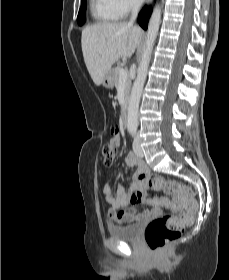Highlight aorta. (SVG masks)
I'll list each match as a JSON object with an SVG mask.
<instances>
[{
  "mask_svg": "<svg viewBox=\"0 0 229 280\" xmlns=\"http://www.w3.org/2000/svg\"><path fill=\"white\" fill-rule=\"evenodd\" d=\"M161 22V8L156 6L149 21L147 38L142 53L137 77L134 81L128 106L127 127L130 131H136L138 127V109L142 90L147 77V71L151 60L153 46L158 34Z\"/></svg>",
  "mask_w": 229,
  "mask_h": 280,
  "instance_id": "obj_1",
  "label": "aorta"
}]
</instances>
